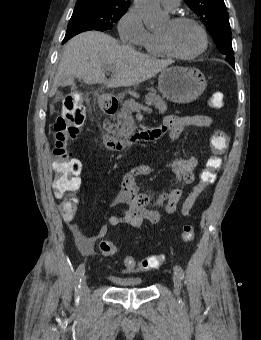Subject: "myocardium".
<instances>
[{
    "label": "myocardium",
    "mask_w": 261,
    "mask_h": 340,
    "mask_svg": "<svg viewBox=\"0 0 261 340\" xmlns=\"http://www.w3.org/2000/svg\"><path fill=\"white\" fill-rule=\"evenodd\" d=\"M172 23L174 24H182V23H191L193 24L198 31L201 34L202 37V45L201 47L194 53L191 54H180L176 51H174L171 46L169 45V43L167 42L166 39H164L163 37L157 35L159 44L162 48V50L165 52V54L181 59V60H193L197 57H199L200 55H202L208 48V44H209V40H208V34L205 30V28L203 27V25L195 18L193 17H189V16H177L174 17L172 20Z\"/></svg>",
    "instance_id": "1"
}]
</instances>
